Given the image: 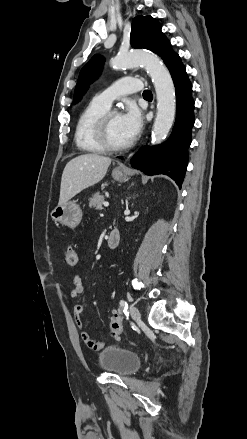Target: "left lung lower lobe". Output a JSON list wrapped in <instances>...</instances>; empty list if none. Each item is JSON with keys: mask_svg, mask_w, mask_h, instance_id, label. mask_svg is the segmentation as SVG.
I'll return each instance as SVG.
<instances>
[{"mask_svg": "<svg viewBox=\"0 0 247 439\" xmlns=\"http://www.w3.org/2000/svg\"><path fill=\"white\" fill-rule=\"evenodd\" d=\"M176 91V121L170 138L163 144L143 147L131 159V166L147 175L166 174L181 187L188 164V148L194 125L192 84L181 59L170 69Z\"/></svg>", "mask_w": 247, "mask_h": 439, "instance_id": "0a47b994", "label": "left lung lower lobe"}]
</instances>
